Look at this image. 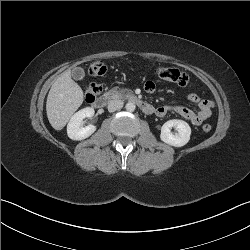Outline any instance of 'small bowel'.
I'll return each mask as SVG.
<instances>
[{"instance_id": "small-bowel-1", "label": "small bowel", "mask_w": 250, "mask_h": 250, "mask_svg": "<svg viewBox=\"0 0 250 250\" xmlns=\"http://www.w3.org/2000/svg\"><path fill=\"white\" fill-rule=\"evenodd\" d=\"M144 88L147 92L151 93L155 90V85L153 82L149 81L146 82ZM187 99L198 106L197 111L180 105L165 104L156 108L155 113L157 116L163 117L167 113L173 112L190 121L194 125H200L203 121L211 116L213 108V103L211 101L199 98L195 92L189 93L187 95Z\"/></svg>"}]
</instances>
